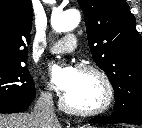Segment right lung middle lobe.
<instances>
[{"label":"right lung middle lobe","mask_w":142,"mask_h":128,"mask_svg":"<svg viewBox=\"0 0 142 128\" xmlns=\"http://www.w3.org/2000/svg\"><path fill=\"white\" fill-rule=\"evenodd\" d=\"M34 97L35 85L26 67L0 66V102L30 104Z\"/></svg>","instance_id":"right-lung-middle-lobe-1"}]
</instances>
